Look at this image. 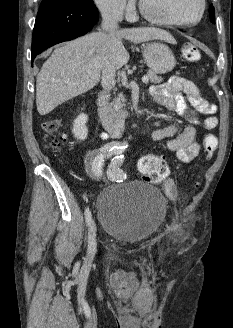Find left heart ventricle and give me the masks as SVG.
Returning a JSON list of instances; mask_svg holds the SVG:
<instances>
[{
    "instance_id": "1",
    "label": "left heart ventricle",
    "mask_w": 233,
    "mask_h": 328,
    "mask_svg": "<svg viewBox=\"0 0 233 328\" xmlns=\"http://www.w3.org/2000/svg\"><path fill=\"white\" fill-rule=\"evenodd\" d=\"M154 15L177 21H194L200 13V0H142Z\"/></svg>"
}]
</instances>
